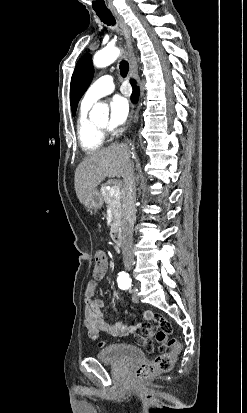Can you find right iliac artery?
<instances>
[{
    "label": "right iliac artery",
    "mask_w": 247,
    "mask_h": 413,
    "mask_svg": "<svg viewBox=\"0 0 247 413\" xmlns=\"http://www.w3.org/2000/svg\"><path fill=\"white\" fill-rule=\"evenodd\" d=\"M120 289L126 290V289H128V286H120Z\"/></svg>",
    "instance_id": "82829eb1"
}]
</instances>
